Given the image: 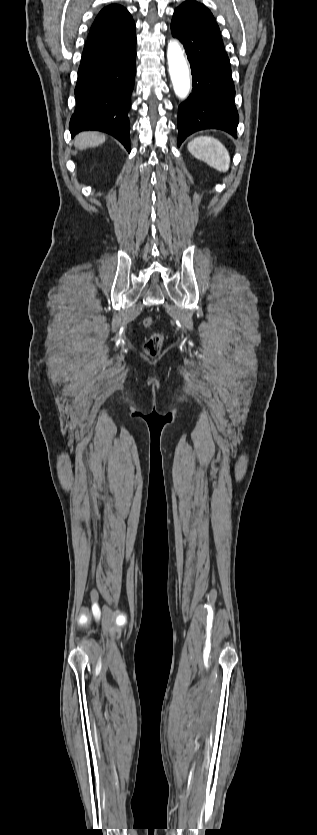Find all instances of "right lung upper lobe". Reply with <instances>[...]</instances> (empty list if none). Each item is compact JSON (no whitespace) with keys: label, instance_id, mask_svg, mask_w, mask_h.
I'll use <instances>...</instances> for the list:
<instances>
[{"label":"right lung upper lobe","instance_id":"1","mask_svg":"<svg viewBox=\"0 0 317 835\" xmlns=\"http://www.w3.org/2000/svg\"><path fill=\"white\" fill-rule=\"evenodd\" d=\"M135 33V23L130 13L121 5L111 4L97 15L88 40L94 37L104 43L115 44Z\"/></svg>","mask_w":317,"mask_h":835}]
</instances>
